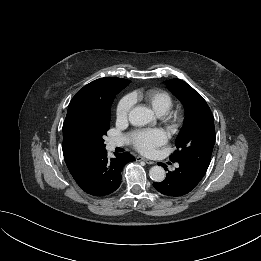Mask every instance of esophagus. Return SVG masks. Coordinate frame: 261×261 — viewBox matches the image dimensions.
<instances>
[{
  "label": "esophagus",
  "mask_w": 261,
  "mask_h": 261,
  "mask_svg": "<svg viewBox=\"0 0 261 261\" xmlns=\"http://www.w3.org/2000/svg\"><path fill=\"white\" fill-rule=\"evenodd\" d=\"M136 160H138V161H144V162H146L147 164H154L153 161L148 160V159L143 158V157H136Z\"/></svg>",
  "instance_id": "esophagus-1"
}]
</instances>
